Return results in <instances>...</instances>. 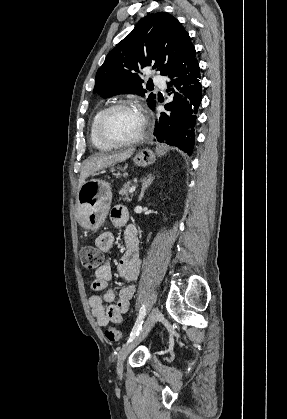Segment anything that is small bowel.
<instances>
[{
    "label": "small bowel",
    "instance_id": "obj_1",
    "mask_svg": "<svg viewBox=\"0 0 287 419\" xmlns=\"http://www.w3.org/2000/svg\"><path fill=\"white\" fill-rule=\"evenodd\" d=\"M110 218L114 227L124 229L125 248L117 268L121 278L129 284L122 287L116 297L115 292L108 287V282L112 277L110 265L105 263L95 271L91 288L100 295L92 296L89 306L96 322L101 327L107 326L110 322L119 323L122 316L129 311L130 301L135 291L133 282L138 278L141 270L138 237L135 228L129 224L128 210L123 206H115L111 210ZM95 244L100 250L108 252L114 244L113 232L101 233Z\"/></svg>",
    "mask_w": 287,
    "mask_h": 419
}]
</instances>
